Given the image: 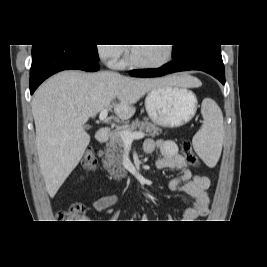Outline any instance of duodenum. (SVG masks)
<instances>
[{
	"mask_svg": "<svg viewBox=\"0 0 267 267\" xmlns=\"http://www.w3.org/2000/svg\"><path fill=\"white\" fill-rule=\"evenodd\" d=\"M111 136V131L107 128L100 129L97 132V141L100 143L106 142Z\"/></svg>",
	"mask_w": 267,
	"mask_h": 267,
	"instance_id": "1",
	"label": "duodenum"
}]
</instances>
